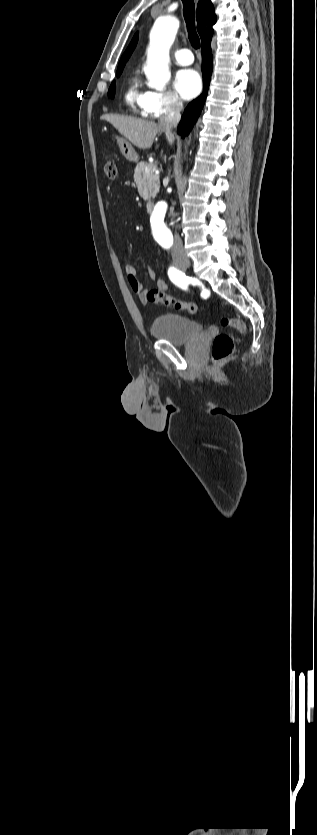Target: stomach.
Wrapping results in <instances>:
<instances>
[{
  "label": "stomach",
  "mask_w": 317,
  "mask_h": 835,
  "mask_svg": "<svg viewBox=\"0 0 317 835\" xmlns=\"http://www.w3.org/2000/svg\"><path fill=\"white\" fill-rule=\"evenodd\" d=\"M115 138L117 140V143L119 145L120 151L123 154V156L129 161L136 162L138 160V155L135 152L131 143L128 142L126 139H124L122 137H119L117 135H115Z\"/></svg>",
  "instance_id": "0dacf381"
}]
</instances>
